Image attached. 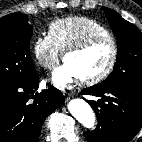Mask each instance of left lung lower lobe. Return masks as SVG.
I'll list each match as a JSON object with an SVG mask.
<instances>
[{
    "mask_svg": "<svg viewBox=\"0 0 142 142\" xmlns=\"http://www.w3.org/2000/svg\"><path fill=\"white\" fill-rule=\"evenodd\" d=\"M82 93L100 97L88 101L98 120L95 130L84 133L88 142H129L141 129L142 85L97 84Z\"/></svg>",
    "mask_w": 142,
    "mask_h": 142,
    "instance_id": "0a47b994",
    "label": "left lung lower lobe"
}]
</instances>
